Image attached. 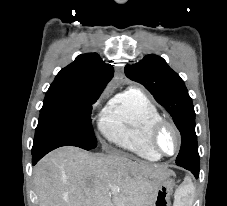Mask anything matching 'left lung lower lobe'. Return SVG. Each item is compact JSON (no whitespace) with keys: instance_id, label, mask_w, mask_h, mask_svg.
I'll return each instance as SVG.
<instances>
[{"instance_id":"obj_1","label":"left lung lower lobe","mask_w":227,"mask_h":206,"mask_svg":"<svg viewBox=\"0 0 227 206\" xmlns=\"http://www.w3.org/2000/svg\"><path fill=\"white\" fill-rule=\"evenodd\" d=\"M178 166H181L189 171H191L196 178L199 176V165H185V164H179Z\"/></svg>"}]
</instances>
